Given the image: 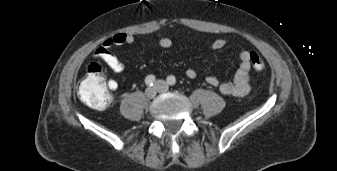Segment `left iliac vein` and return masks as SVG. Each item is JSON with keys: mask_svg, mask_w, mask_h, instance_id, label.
<instances>
[{"mask_svg": "<svg viewBox=\"0 0 337 171\" xmlns=\"http://www.w3.org/2000/svg\"><path fill=\"white\" fill-rule=\"evenodd\" d=\"M155 88L158 92L163 93L168 91V84L163 80H157L155 82Z\"/></svg>", "mask_w": 337, "mask_h": 171, "instance_id": "left-iliac-vein-1", "label": "left iliac vein"}]
</instances>
